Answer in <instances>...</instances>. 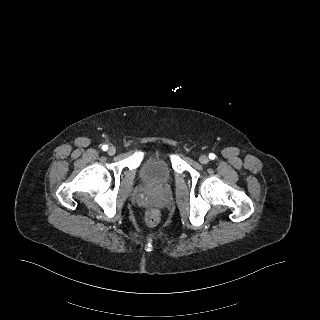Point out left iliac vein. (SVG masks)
<instances>
[{
	"instance_id": "obj_1",
	"label": "left iliac vein",
	"mask_w": 320,
	"mask_h": 320,
	"mask_svg": "<svg viewBox=\"0 0 320 320\" xmlns=\"http://www.w3.org/2000/svg\"><path fill=\"white\" fill-rule=\"evenodd\" d=\"M199 162H200L201 164H207V163L209 162V159H208V157H207L206 155H201V156L199 157Z\"/></svg>"
}]
</instances>
